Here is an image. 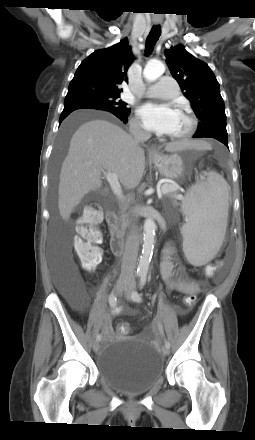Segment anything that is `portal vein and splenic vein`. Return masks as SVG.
Wrapping results in <instances>:
<instances>
[{
	"instance_id": "1",
	"label": "portal vein and splenic vein",
	"mask_w": 255,
	"mask_h": 440,
	"mask_svg": "<svg viewBox=\"0 0 255 440\" xmlns=\"http://www.w3.org/2000/svg\"><path fill=\"white\" fill-rule=\"evenodd\" d=\"M105 176H106V179H107L108 183L110 184V187H111L113 193H114L117 197L122 198V196H123V195H122V189H121V185H120V183H119V181H118V176H117L115 173H112V172H107V173H105ZM161 189H162V188H161ZM177 189H178V186H174V185H166V186L164 187V189H162V193H163V194H166V193H168V192H170V191H175V190H177ZM176 198H177V199H182V196L179 195V196H177Z\"/></svg>"
}]
</instances>
